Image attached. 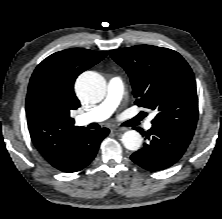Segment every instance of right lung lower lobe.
<instances>
[{
    "mask_svg": "<svg viewBox=\"0 0 222 219\" xmlns=\"http://www.w3.org/2000/svg\"><path fill=\"white\" fill-rule=\"evenodd\" d=\"M107 128L87 130L73 144L68 155L55 168L66 173L82 170L92 162L101 141L108 135Z\"/></svg>",
    "mask_w": 222,
    "mask_h": 219,
    "instance_id": "98d812e1",
    "label": "right lung lower lobe"
}]
</instances>
